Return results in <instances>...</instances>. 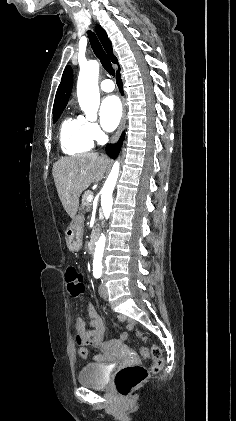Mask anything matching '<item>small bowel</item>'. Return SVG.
I'll return each mask as SVG.
<instances>
[{
  "label": "small bowel",
  "instance_id": "small-bowel-1",
  "mask_svg": "<svg viewBox=\"0 0 236 421\" xmlns=\"http://www.w3.org/2000/svg\"><path fill=\"white\" fill-rule=\"evenodd\" d=\"M89 317H90V324L94 328L93 331L97 330L98 328H101L103 332L105 331V326L103 323V320L98 316V314L95 312L94 308L89 305ZM84 325V321L82 319H78L77 326L78 328H81ZM79 354L82 358H87V351L84 348H81L79 351Z\"/></svg>",
  "mask_w": 236,
  "mask_h": 421
}]
</instances>
